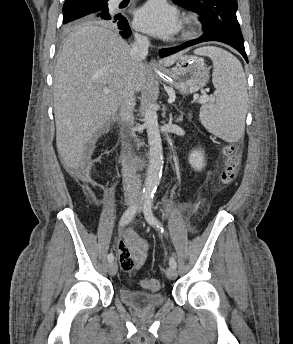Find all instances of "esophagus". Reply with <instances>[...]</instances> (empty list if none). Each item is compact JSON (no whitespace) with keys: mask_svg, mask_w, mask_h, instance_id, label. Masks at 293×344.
<instances>
[{"mask_svg":"<svg viewBox=\"0 0 293 344\" xmlns=\"http://www.w3.org/2000/svg\"><path fill=\"white\" fill-rule=\"evenodd\" d=\"M151 66L153 67V68H155V69H157L158 67H159V64H158V62L155 60V59H153L152 61H151Z\"/></svg>","mask_w":293,"mask_h":344,"instance_id":"obj_1","label":"esophagus"}]
</instances>
